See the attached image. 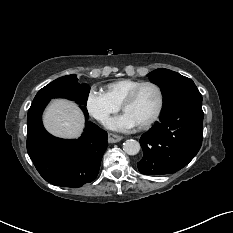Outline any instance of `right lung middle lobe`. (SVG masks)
Segmentation results:
<instances>
[{"label": "right lung middle lobe", "instance_id": "right-lung-middle-lobe-1", "mask_svg": "<svg viewBox=\"0 0 233 233\" xmlns=\"http://www.w3.org/2000/svg\"><path fill=\"white\" fill-rule=\"evenodd\" d=\"M90 87L87 84H79L75 74L58 78L36 94L32 103L44 99L67 98L75 100L77 103L85 106L88 98Z\"/></svg>", "mask_w": 233, "mask_h": 233}]
</instances>
